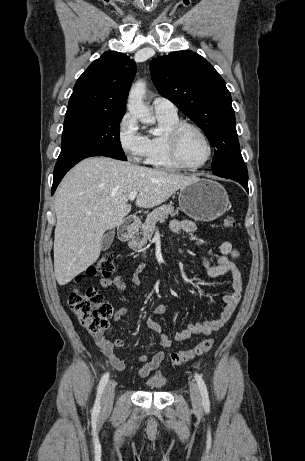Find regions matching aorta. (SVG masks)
<instances>
[{"instance_id":"1","label":"aorta","mask_w":305,"mask_h":461,"mask_svg":"<svg viewBox=\"0 0 305 461\" xmlns=\"http://www.w3.org/2000/svg\"><path fill=\"white\" fill-rule=\"evenodd\" d=\"M145 92L146 84L143 81L136 82L130 90L127 108L129 112L137 117L142 123L148 124L153 121V117L143 103Z\"/></svg>"}]
</instances>
